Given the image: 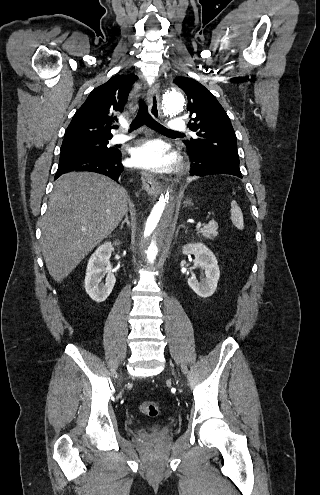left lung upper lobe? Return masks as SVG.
Masks as SVG:
<instances>
[{
	"label": "left lung upper lobe",
	"mask_w": 320,
	"mask_h": 495,
	"mask_svg": "<svg viewBox=\"0 0 320 495\" xmlns=\"http://www.w3.org/2000/svg\"><path fill=\"white\" fill-rule=\"evenodd\" d=\"M174 83L187 95V112L191 118L188 127L197 135L196 139L185 142L188 152L239 166L236 135L217 99L193 78L177 77Z\"/></svg>",
	"instance_id": "obj_1"
}]
</instances>
